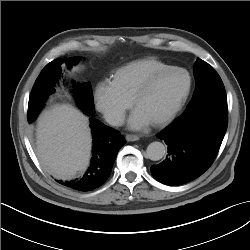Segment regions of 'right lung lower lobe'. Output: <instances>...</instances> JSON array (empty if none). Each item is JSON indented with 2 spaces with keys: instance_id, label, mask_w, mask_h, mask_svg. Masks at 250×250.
Masks as SVG:
<instances>
[{
  "instance_id": "98d812e1",
  "label": "right lung lower lobe",
  "mask_w": 250,
  "mask_h": 250,
  "mask_svg": "<svg viewBox=\"0 0 250 250\" xmlns=\"http://www.w3.org/2000/svg\"><path fill=\"white\" fill-rule=\"evenodd\" d=\"M93 134V156L88 171L79 179L58 181L74 190L86 192L101 186L110 176L119 149L126 143L118 131L90 118Z\"/></svg>"
}]
</instances>
